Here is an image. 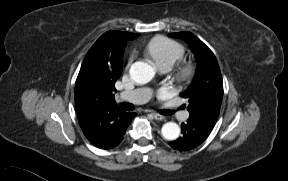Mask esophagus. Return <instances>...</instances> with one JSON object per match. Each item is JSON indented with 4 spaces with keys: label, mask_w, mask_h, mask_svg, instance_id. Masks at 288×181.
Wrapping results in <instances>:
<instances>
[{
    "label": "esophagus",
    "mask_w": 288,
    "mask_h": 181,
    "mask_svg": "<svg viewBox=\"0 0 288 181\" xmlns=\"http://www.w3.org/2000/svg\"><path fill=\"white\" fill-rule=\"evenodd\" d=\"M152 115L156 120H164L165 119V117L163 115L158 114L156 112H153Z\"/></svg>",
    "instance_id": "obj_1"
}]
</instances>
